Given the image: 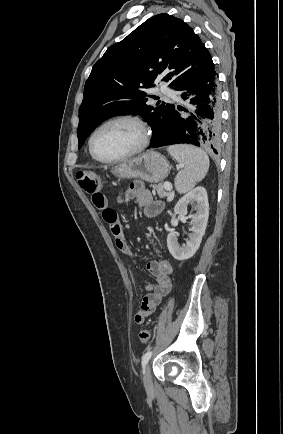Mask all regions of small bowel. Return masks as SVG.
Wrapping results in <instances>:
<instances>
[{
	"label": "small bowel",
	"instance_id": "obj_1",
	"mask_svg": "<svg viewBox=\"0 0 283 434\" xmlns=\"http://www.w3.org/2000/svg\"><path fill=\"white\" fill-rule=\"evenodd\" d=\"M122 198L125 201L135 200L143 209L144 215L149 218L158 216L164 208V204L154 200L151 192L140 181L131 183L123 192ZM92 202L102 212L104 221L109 225L116 247L125 255L135 257L127 242L119 217L116 211L108 206L106 196L98 191L92 194ZM154 251L158 258L147 264V270L154 277L155 282L147 285L148 293L143 297L140 308L134 316L136 324L143 323L171 290L170 275L173 267L157 248Z\"/></svg>",
	"mask_w": 283,
	"mask_h": 434
}]
</instances>
